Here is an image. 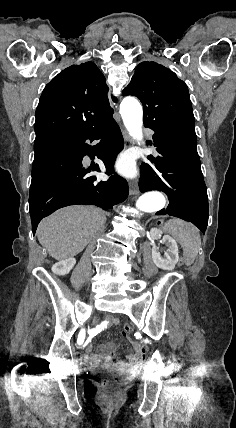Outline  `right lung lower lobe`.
Here are the masks:
<instances>
[{"mask_svg": "<svg viewBox=\"0 0 236 428\" xmlns=\"http://www.w3.org/2000/svg\"><path fill=\"white\" fill-rule=\"evenodd\" d=\"M99 141L96 146L87 142ZM48 149L35 154L29 193L32 231L38 223L59 208L69 205H96L104 210L123 202L128 196V184L114 175L113 163L124 147L116 121L111 117L97 127L66 134L48 141ZM85 155L101 159L110 175L98 182L90 172H100L99 166L83 167Z\"/></svg>", "mask_w": 236, "mask_h": 428, "instance_id": "98d812e1", "label": "right lung lower lobe"}]
</instances>
